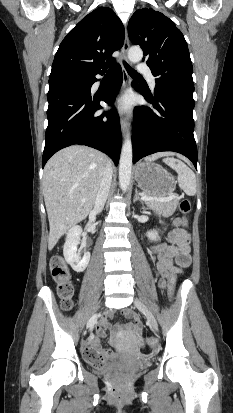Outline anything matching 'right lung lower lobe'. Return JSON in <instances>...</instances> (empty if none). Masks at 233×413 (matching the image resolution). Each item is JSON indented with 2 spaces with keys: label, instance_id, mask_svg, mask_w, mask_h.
<instances>
[{
  "label": "right lung lower lobe",
  "instance_id": "1",
  "mask_svg": "<svg viewBox=\"0 0 233 413\" xmlns=\"http://www.w3.org/2000/svg\"><path fill=\"white\" fill-rule=\"evenodd\" d=\"M58 79L49 82L48 127L42 167L57 151L73 144L96 148L117 165L121 150V128L117 112L95 115L101 109L100 101L112 104L122 84L120 65L114 68V77L103 94L91 97V86L97 81L96 74Z\"/></svg>",
  "mask_w": 233,
  "mask_h": 413
}]
</instances>
